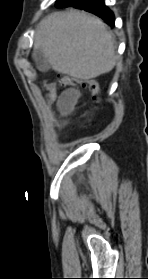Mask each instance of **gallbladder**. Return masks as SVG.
Listing matches in <instances>:
<instances>
[{
  "mask_svg": "<svg viewBox=\"0 0 148 279\" xmlns=\"http://www.w3.org/2000/svg\"><path fill=\"white\" fill-rule=\"evenodd\" d=\"M33 59L36 63L38 70H40L42 72H47L50 69L49 60L42 51L34 52Z\"/></svg>",
  "mask_w": 148,
  "mask_h": 279,
  "instance_id": "gallbladder-1",
  "label": "gallbladder"
}]
</instances>
